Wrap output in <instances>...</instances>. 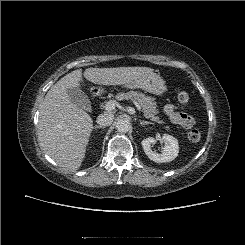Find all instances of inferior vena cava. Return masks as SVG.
<instances>
[{"mask_svg": "<svg viewBox=\"0 0 245 245\" xmlns=\"http://www.w3.org/2000/svg\"><path fill=\"white\" fill-rule=\"evenodd\" d=\"M114 120V115L111 113H104V114H100L97 117V123L100 124L101 126H109L112 124Z\"/></svg>", "mask_w": 245, "mask_h": 245, "instance_id": "inferior-vena-cava-1", "label": "inferior vena cava"}]
</instances>
